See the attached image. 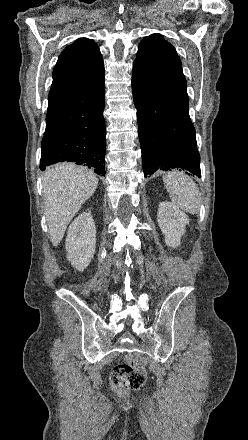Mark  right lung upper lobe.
Returning a JSON list of instances; mask_svg holds the SVG:
<instances>
[{"label": "right lung upper lobe", "mask_w": 248, "mask_h": 440, "mask_svg": "<svg viewBox=\"0 0 248 440\" xmlns=\"http://www.w3.org/2000/svg\"><path fill=\"white\" fill-rule=\"evenodd\" d=\"M104 80V65L97 44L79 38L67 46L53 70L48 101L93 89Z\"/></svg>", "instance_id": "1"}]
</instances>
